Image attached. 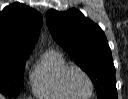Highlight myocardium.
<instances>
[{
	"mask_svg": "<svg viewBox=\"0 0 128 99\" xmlns=\"http://www.w3.org/2000/svg\"><path fill=\"white\" fill-rule=\"evenodd\" d=\"M73 70H77V71L81 72L85 76V78L87 79V81H88V83L90 85V92H89V94L87 96L82 97V98L83 99L90 98L94 93L93 81H92L90 75L82 67H80L78 65H69L64 69V71H63V73L61 75V83H62L63 89L72 97H80V96H77L74 93H72V91L70 90V88L68 86V83H67L68 75Z\"/></svg>",
	"mask_w": 128,
	"mask_h": 99,
	"instance_id": "obj_1",
	"label": "myocardium"
}]
</instances>
